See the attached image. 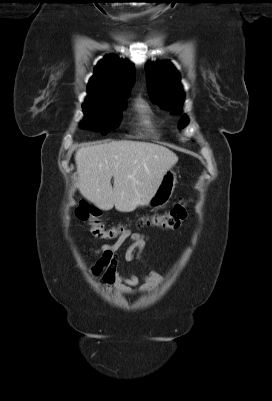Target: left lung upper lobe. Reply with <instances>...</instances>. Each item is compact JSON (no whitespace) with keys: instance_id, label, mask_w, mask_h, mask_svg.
<instances>
[{"instance_id":"left-lung-upper-lobe-1","label":"left lung upper lobe","mask_w":272,"mask_h":401,"mask_svg":"<svg viewBox=\"0 0 272 401\" xmlns=\"http://www.w3.org/2000/svg\"><path fill=\"white\" fill-rule=\"evenodd\" d=\"M146 77L152 100L160 107L179 109L183 104L184 93L180 84V75L169 62L153 63L146 66ZM188 123L183 115L179 127Z\"/></svg>"}]
</instances>
